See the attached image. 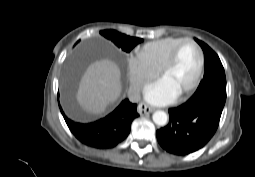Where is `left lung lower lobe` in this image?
Segmentation results:
<instances>
[{
	"label": "left lung lower lobe",
	"instance_id": "0a47b994",
	"mask_svg": "<svg viewBox=\"0 0 255 177\" xmlns=\"http://www.w3.org/2000/svg\"><path fill=\"white\" fill-rule=\"evenodd\" d=\"M226 99L210 94L190 98L168 110V125L157 130V140L167 152L184 156L204 147L215 134Z\"/></svg>",
	"mask_w": 255,
	"mask_h": 177
}]
</instances>
